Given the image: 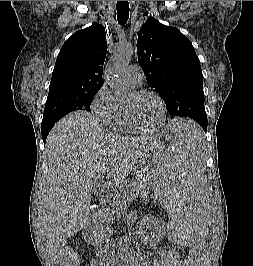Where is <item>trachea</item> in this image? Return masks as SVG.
<instances>
[{
    "mask_svg": "<svg viewBox=\"0 0 253 266\" xmlns=\"http://www.w3.org/2000/svg\"><path fill=\"white\" fill-rule=\"evenodd\" d=\"M129 18L128 1H117V20L120 25H125Z\"/></svg>",
    "mask_w": 253,
    "mask_h": 266,
    "instance_id": "obj_1",
    "label": "trachea"
}]
</instances>
